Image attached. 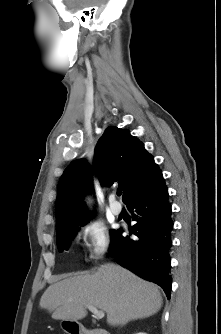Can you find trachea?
<instances>
[{
  "mask_svg": "<svg viewBox=\"0 0 221 334\" xmlns=\"http://www.w3.org/2000/svg\"><path fill=\"white\" fill-rule=\"evenodd\" d=\"M121 194H122V191H121V190H118V191H117V195H118V196H121Z\"/></svg>",
  "mask_w": 221,
  "mask_h": 334,
  "instance_id": "obj_1",
  "label": "trachea"
}]
</instances>
